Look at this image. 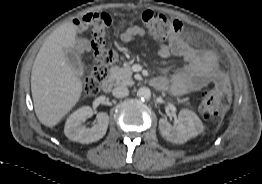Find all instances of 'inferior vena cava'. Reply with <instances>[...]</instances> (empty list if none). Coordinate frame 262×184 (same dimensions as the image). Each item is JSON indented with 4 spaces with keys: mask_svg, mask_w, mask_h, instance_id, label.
Instances as JSON below:
<instances>
[{
    "mask_svg": "<svg viewBox=\"0 0 262 184\" xmlns=\"http://www.w3.org/2000/svg\"><path fill=\"white\" fill-rule=\"evenodd\" d=\"M112 94L116 98H123V97L128 96L129 90L127 87L119 86L113 89Z\"/></svg>",
    "mask_w": 262,
    "mask_h": 184,
    "instance_id": "inferior-vena-cava-1",
    "label": "inferior vena cava"
}]
</instances>
